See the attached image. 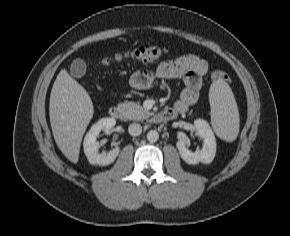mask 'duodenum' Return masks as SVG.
<instances>
[{"label": "duodenum", "instance_id": "410a0bca", "mask_svg": "<svg viewBox=\"0 0 290 236\" xmlns=\"http://www.w3.org/2000/svg\"><path fill=\"white\" fill-rule=\"evenodd\" d=\"M185 110H181L178 108H169V109H164L160 111L159 113L156 114L155 120L157 122H168L177 117L179 113L184 112ZM109 115L114 118V119H123L124 118V113L119 106H112L109 109Z\"/></svg>", "mask_w": 290, "mask_h": 236}]
</instances>
